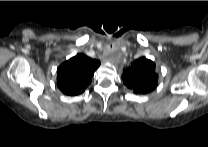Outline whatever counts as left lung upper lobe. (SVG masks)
<instances>
[{
  "mask_svg": "<svg viewBox=\"0 0 208 147\" xmlns=\"http://www.w3.org/2000/svg\"><path fill=\"white\" fill-rule=\"evenodd\" d=\"M123 83L133 89L135 93L145 94L157 86L158 75L155 63L142 57L123 70Z\"/></svg>",
  "mask_w": 208,
  "mask_h": 147,
  "instance_id": "obj_1",
  "label": "left lung upper lobe"
}]
</instances>
